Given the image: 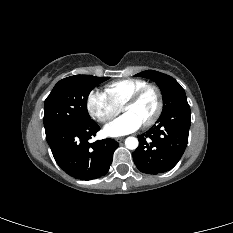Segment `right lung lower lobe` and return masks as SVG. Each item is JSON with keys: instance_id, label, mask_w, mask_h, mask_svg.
I'll list each match as a JSON object with an SVG mask.
<instances>
[{"instance_id": "98d812e1", "label": "right lung lower lobe", "mask_w": 233, "mask_h": 233, "mask_svg": "<svg viewBox=\"0 0 233 233\" xmlns=\"http://www.w3.org/2000/svg\"><path fill=\"white\" fill-rule=\"evenodd\" d=\"M100 127L89 121L64 125L46 132V139L57 164L69 175L91 180L105 175L119 144L113 139L89 143Z\"/></svg>"}]
</instances>
